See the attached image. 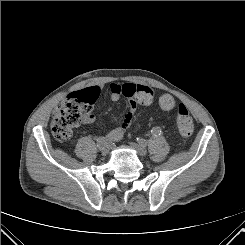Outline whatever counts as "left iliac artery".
<instances>
[{"label": "left iliac artery", "instance_id": "left-iliac-artery-1", "mask_svg": "<svg viewBox=\"0 0 245 245\" xmlns=\"http://www.w3.org/2000/svg\"><path fill=\"white\" fill-rule=\"evenodd\" d=\"M151 132H152V134H153L154 136H157V135H160V134H161V130H160L159 128H153V129L151 130ZM142 140H143V139L137 138V141H138L139 143H141Z\"/></svg>", "mask_w": 245, "mask_h": 245}]
</instances>
